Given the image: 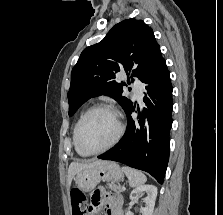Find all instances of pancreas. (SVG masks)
I'll use <instances>...</instances> for the list:
<instances>
[{
	"mask_svg": "<svg viewBox=\"0 0 223 215\" xmlns=\"http://www.w3.org/2000/svg\"><path fill=\"white\" fill-rule=\"evenodd\" d=\"M108 189H113V191H123L121 185H116V183H107Z\"/></svg>",
	"mask_w": 223,
	"mask_h": 215,
	"instance_id": "cf45deb5",
	"label": "pancreas"
}]
</instances>
